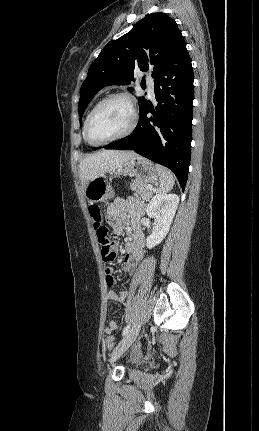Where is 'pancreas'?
<instances>
[{
	"mask_svg": "<svg viewBox=\"0 0 259 431\" xmlns=\"http://www.w3.org/2000/svg\"><path fill=\"white\" fill-rule=\"evenodd\" d=\"M130 189L135 191L143 200H149L152 196V191L148 189V185L140 179L132 180Z\"/></svg>",
	"mask_w": 259,
	"mask_h": 431,
	"instance_id": "cf45deb5",
	"label": "pancreas"
}]
</instances>
